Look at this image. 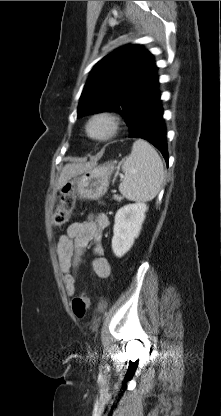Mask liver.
Wrapping results in <instances>:
<instances>
[{
    "label": "liver",
    "mask_w": 221,
    "mask_h": 416,
    "mask_svg": "<svg viewBox=\"0 0 221 416\" xmlns=\"http://www.w3.org/2000/svg\"><path fill=\"white\" fill-rule=\"evenodd\" d=\"M94 165L92 162L66 164L62 169L56 189H61L72 177L82 174Z\"/></svg>",
    "instance_id": "1"
}]
</instances>
